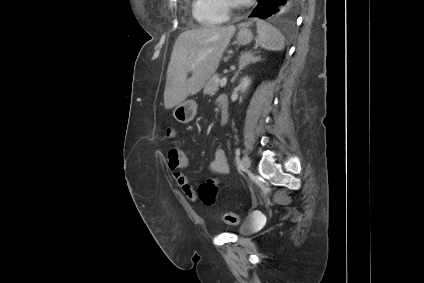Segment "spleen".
Returning <instances> with one entry per match:
<instances>
[{
    "mask_svg": "<svg viewBox=\"0 0 424 283\" xmlns=\"http://www.w3.org/2000/svg\"><path fill=\"white\" fill-rule=\"evenodd\" d=\"M259 45L267 50L281 51L285 46V38L276 28L260 21L257 26Z\"/></svg>",
    "mask_w": 424,
    "mask_h": 283,
    "instance_id": "obj_1",
    "label": "spleen"
}]
</instances>
